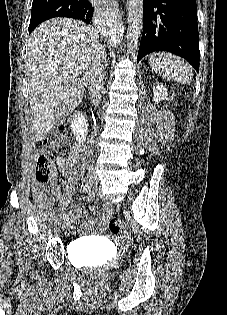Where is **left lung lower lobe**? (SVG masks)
I'll return each mask as SVG.
<instances>
[{"instance_id":"obj_1","label":"left lung lower lobe","mask_w":227,"mask_h":315,"mask_svg":"<svg viewBox=\"0 0 227 315\" xmlns=\"http://www.w3.org/2000/svg\"><path fill=\"white\" fill-rule=\"evenodd\" d=\"M154 51L179 55L199 72L196 0H143L137 62Z\"/></svg>"}]
</instances>
